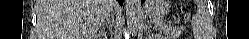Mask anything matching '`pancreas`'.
<instances>
[{
  "mask_svg": "<svg viewBox=\"0 0 249 39\" xmlns=\"http://www.w3.org/2000/svg\"><path fill=\"white\" fill-rule=\"evenodd\" d=\"M163 30L172 37L179 36L182 32V30L178 27H164Z\"/></svg>",
  "mask_w": 249,
  "mask_h": 39,
  "instance_id": "obj_1",
  "label": "pancreas"
}]
</instances>
